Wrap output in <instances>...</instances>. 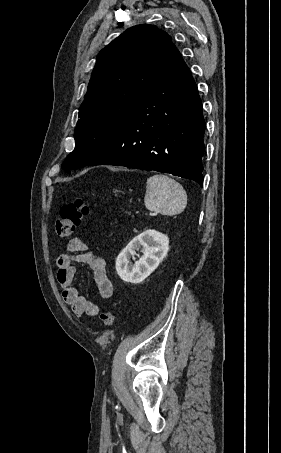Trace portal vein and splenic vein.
I'll return each mask as SVG.
<instances>
[{
  "mask_svg": "<svg viewBox=\"0 0 281 453\" xmlns=\"http://www.w3.org/2000/svg\"><path fill=\"white\" fill-rule=\"evenodd\" d=\"M140 211L139 210H136V213H139ZM161 214V211H158V210H155L154 212H148V216L151 217L153 215V217H156L157 215Z\"/></svg>",
  "mask_w": 281,
  "mask_h": 453,
  "instance_id": "portal-vein-and-splenic-vein-1",
  "label": "portal vein and splenic vein"
}]
</instances>
